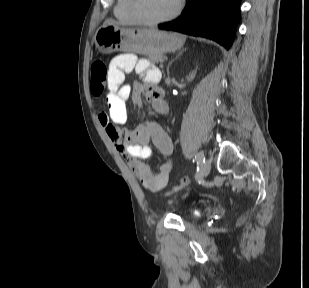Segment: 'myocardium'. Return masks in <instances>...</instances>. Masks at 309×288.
<instances>
[{"mask_svg": "<svg viewBox=\"0 0 309 288\" xmlns=\"http://www.w3.org/2000/svg\"><path fill=\"white\" fill-rule=\"evenodd\" d=\"M139 2V0H128V10L137 23L146 26H156L174 19L179 15L184 5V0H178L176 7L168 15L158 19H148L141 14L139 10Z\"/></svg>", "mask_w": 309, "mask_h": 288, "instance_id": "f54148a6", "label": "myocardium"}]
</instances>
